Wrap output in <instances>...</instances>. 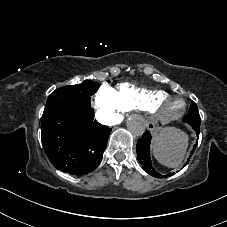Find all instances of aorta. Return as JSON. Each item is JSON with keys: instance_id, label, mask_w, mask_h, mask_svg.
Listing matches in <instances>:
<instances>
[{"instance_id": "aorta-1", "label": "aorta", "mask_w": 227, "mask_h": 227, "mask_svg": "<svg viewBox=\"0 0 227 227\" xmlns=\"http://www.w3.org/2000/svg\"><path fill=\"white\" fill-rule=\"evenodd\" d=\"M128 130L135 136H141L146 129V122L140 116L134 115L127 121Z\"/></svg>"}]
</instances>
